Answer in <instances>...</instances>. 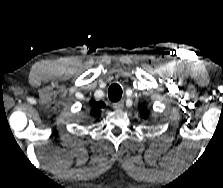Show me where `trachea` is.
Instances as JSON below:
<instances>
[{
	"instance_id": "trachea-1",
	"label": "trachea",
	"mask_w": 223,
	"mask_h": 188,
	"mask_svg": "<svg viewBox=\"0 0 223 188\" xmlns=\"http://www.w3.org/2000/svg\"><path fill=\"white\" fill-rule=\"evenodd\" d=\"M108 97L112 102H117L122 97V88L118 84H112L108 89Z\"/></svg>"
}]
</instances>
